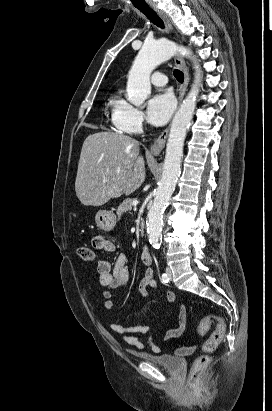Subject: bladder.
<instances>
[{"label": "bladder", "mask_w": 272, "mask_h": 411, "mask_svg": "<svg viewBox=\"0 0 272 411\" xmlns=\"http://www.w3.org/2000/svg\"><path fill=\"white\" fill-rule=\"evenodd\" d=\"M140 357L157 366L170 372H177L182 368L183 359L176 355L169 354H141Z\"/></svg>", "instance_id": "obj_1"}]
</instances>
